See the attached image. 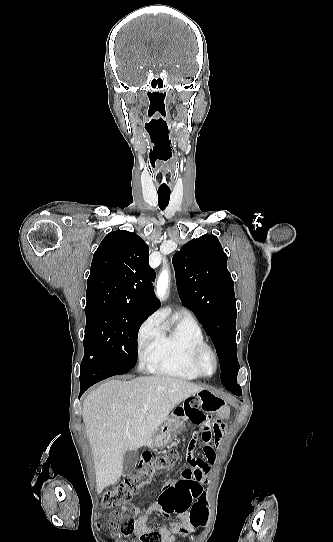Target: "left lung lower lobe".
Wrapping results in <instances>:
<instances>
[{"mask_svg": "<svg viewBox=\"0 0 333 542\" xmlns=\"http://www.w3.org/2000/svg\"><path fill=\"white\" fill-rule=\"evenodd\" d=\"M222 384L233 394L241 395V387L237 384V379L224 380L221 379Z\"/></svg>", "mask_w": 333, "mask_h": 542, "instance_id": "left-lung-lower-lobe-1", "label": "left lung lower lobe"}]
</instances>
